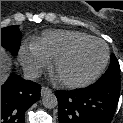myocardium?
I'll use <instances>...</instances> for the list:
<instances>
[{
  "instance_id": "1",
  "label": "myocardium",
  "mask_w": 123,
  "mask_h": 123,
  "mask_svg": "<svg viewBox=\"0 0 123 123\" xmlns=\"http://www.w3.org/2000/svg\"><path fill=\"white\" fill-rule=\"evenodd\" d=\"M89 43H99L104 47V50H105L103 62L100 65V67L97 69V71L93 75H91L90 77L83 79V80L74 81V80H66V79L61 78L58 74V70H59L60 65L64 61H66L68 58H70L81 47H83ZM109 57H110L109 49H108L105 42H103L102 40L97 39V38H89V39L81 40L79 42L74 43L73 45L68 47L66 50H64L62 53H60L53 60L52 71H53V74H54L57 82L60 85H62L63 87L72 88V89L82 88V87H86V86L92 84L101 76V74L104 72V70L108 64Z\"/></svg>"
}]
</instances>
